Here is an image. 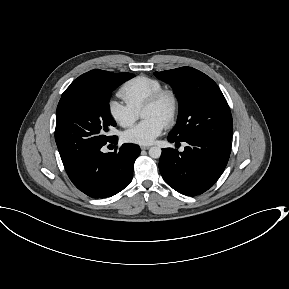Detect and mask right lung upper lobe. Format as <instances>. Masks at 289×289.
I'll use <instances>...</instances> for the list:
<instances>
[{"label": "right lung upper lobe", "instance_id": "1", "mask_svg": "<svg viewBox=\"0 0 289 289\" xmlns=\"http://www.w3.org/2000/svg\"><path fill=\"white\" fill-rule=\"evenodd\" d=\"M111 72L103 71V70H91L83 75L79 76L75 79L70 86L65 90V93L72 91H79L88 89L100 81L109 78L111 76Z\"/></svg>", "mask_w": 289, "mask_h": 289}]
</instances>
